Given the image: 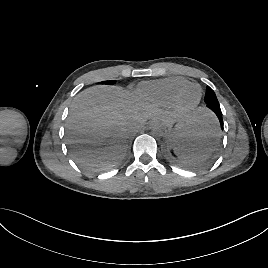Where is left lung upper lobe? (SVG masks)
<instances>
[{"mask_svg": "<svg viewBox=\"0 0 268 268\" xmlns=\"http://www.w3.org/2000/svg\"><path fill=\"white\" fill-rule=\"evenodd\" d=\"M204 101L207 105H219L216 94L209 86H207Z\"/></svg>", "mask_w": 268, "mask_h": 268, "instance_id": "5c2ea615", "label": "left lung upper lobe"}]
</instances>
